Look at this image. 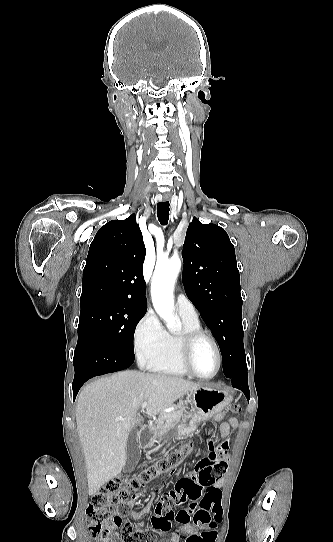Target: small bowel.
Masks as SVG:
<instances>
[{
    "label": "small bowel",
    "mask_w": 333,
    "mask_h": 542,
    "mask_svg": "<svg viewBox=\"0 0 333 542\" xmlns=\"http://www.w3.org/2000/svg\"><path fill=\"white\" fill-rule=\"evenodd\" d=\"M238 425L239 424H238L237 419L234 417H231L227 421L222 422L220 425V434H219V437L217 438V441L219 442L218 444H216L215 441H213L210 437L207 439L209 441L208 445L210 447L214 446V449L216 450L220 449L217 451L209 450L207 452V457L209 459H214V458L222 459L224 457V454L228 451L231 445V439L229 437L230 431L231 429H237ZM146 483L149 485L151 482L148 480ZM222 485H223V479H219L213 484L215 488H220ZM141 487L143 489L144 488L146 489L148 486L146 484L145 485L143 484ZM154 492L156 494H159L161 492V489L159 487H156L154 489ZM163 496L167 497L168 495L165 493ZM153 498H154L153 494H148V495L136 494L135 497H133L131 500L123 503V506L132 507L133 510L129 512V517L132 520H139L141 517H143L145 514L149 512L150 505L152 503ZM144 503L146 504V506L143 508H139V506ZM182 511H186V510H182ZM182 514H185V513H182ZM181 525H182L183 532L187 535L195 533L196 530H201L202 528L204 529L210 528L209 522L202 523L201 521H195L193 524L189 522V523H185ZM118 526L121 528L123 525L120 523ZM137 527L141 528L142 523L138 522ZM169 541L179 542L180 535L177 533H171Z\"/></svg>",
    "instance_id": "small-bowel-1"
}]
</instances>
